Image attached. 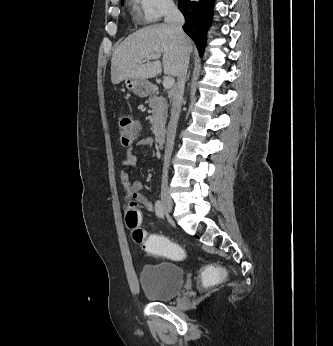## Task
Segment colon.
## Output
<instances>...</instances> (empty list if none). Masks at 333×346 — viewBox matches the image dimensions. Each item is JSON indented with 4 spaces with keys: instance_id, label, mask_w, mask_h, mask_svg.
Wrapping results in <instances>:
<instances>
[{
    "instance_id": "obj_1",
    "label": "colon",
    "mask_w": 333,
    "mask_h": 346,
    "mask_svg": "<svg viewBox=\"0 0 333 346\" xmlns=\"http://www.w3.org/2000/svg\"><path fill=\"white\" fill-rule=\"evenodd\" d=\"M139 133L137 122L130 116H123L119 121V137L123 146L132 145ZM141 214L136 202L131 201L126 209L125 222L132 230L134 241L144 248L148 256H165L166 260H184V245L174 244L173 236L166 233L146 235L140 227ZM218 261L217 259L215 260ZM205 288H214L215 283H222L227 275L226 269H220L219 264H208L207 269L201 270Z\"/></svg>"
}]
</instances>
